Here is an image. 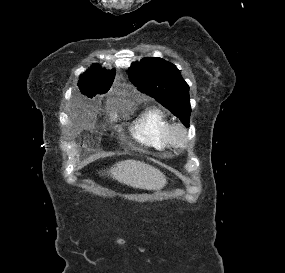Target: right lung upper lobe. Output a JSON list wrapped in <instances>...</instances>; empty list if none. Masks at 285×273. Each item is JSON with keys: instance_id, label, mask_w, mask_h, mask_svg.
<instances>
[{"instance_id": "1", "label": "right lung upper lobe", "mask_w": 285, "mask_h": 273, "mask_svg": "<svg viewBox=\"0 0 285 273\" xmlns=\"http://www.w3.org/2000/svg\"><path fill=\"white\" fill-rule=\"evenodd\" d=\"M115 77V71L104 70L99 65H93L80 76L78 86L83 95L92 98L96 94L106 93Z\"/></svg>"}]
</instances>
